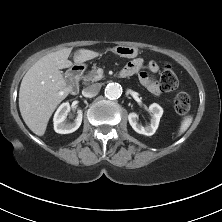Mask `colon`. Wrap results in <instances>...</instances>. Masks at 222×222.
I'll return each mask as SVG.
<instances>
[{
    "label": "colon",
    "mask_w": 222,
    "mask_h": 222,
    "mask_svg": "<svg viewBox=\"0 0 222 222\" xmlns=\"http://www.w3.org/2000/svg\"><path fill=\"white\" fill-rule=\"evenodd\" d=\"M160 84L162 89L173 95L176 111L184 115L190 109V97L184 91L179 90L177 75L170 64H164L161 75Z\"/></svg>",
    "instance_id": "colon-1"
}]
</instances>
